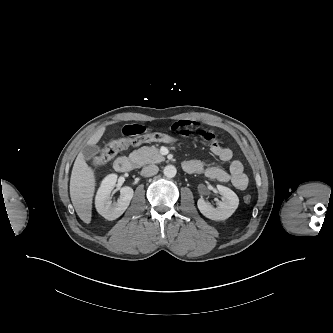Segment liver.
Returning a JSON list of instances; mask_svg holds the SVG:
<instances>
[{"label": "liver", "instance_id": "obj_1", "mask_svg": "<svg viewBox=\"0 0 333 333\" xmlns=\"http://www.w3.org/2000/svg\"><path fill=\"white\" fill-rule=\"evenodd\" d=\"M105 132V127L100 128L90 137L87 144L95 145ZM96 181L94 171L87 165L82 151L78 154L70 178V197L77 215L89 224L92 219V201Z\"/></svg>", "mask_w": 333, "mask_h": 333}]
</instances>
